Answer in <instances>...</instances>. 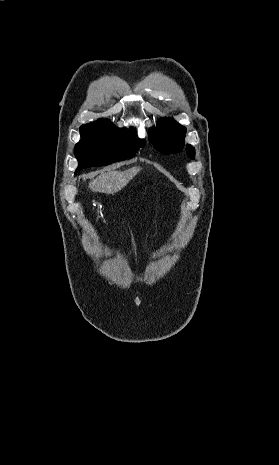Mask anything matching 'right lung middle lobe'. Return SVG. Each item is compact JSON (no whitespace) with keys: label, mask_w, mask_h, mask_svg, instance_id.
Wrapping results in <instances>:
<instances>
[{"label":"right lung middle lobe","mask_w":279,"mask_h":465,"mask_svg":"<svg viewBox=\"0 0 279 465\" xmlns=\"http://www.w3.org/2000/svg\"><path fill=\"white\" fill-rule=\"evenodd\" d=\"M81 140L75 146L79 166L76 170L102 166L135 156L138 148L145 145L132 130H119L115 126L100 125L80 130Z\"/></svg>","instance_id":"right-lung-middle-lobe-1"}]
</instances>
